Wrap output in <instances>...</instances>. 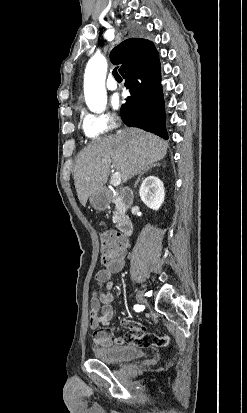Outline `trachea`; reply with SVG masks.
<instances>
[{
	"instance_id": "3493384b",
	"label": "trachea",
	"mask_w": 247,
	"mask_h": 413,
	"mask_svg": "<svg viewBox=\"0 0 247 413\" xmlns=\"http://www.w3.org/2000/svg\"><path fill=\"white\" fill-rule=\"evenodd\" d=\"M117 68H118V67L114 68V70H113V75H114V77H115L116 80H122L121 76H120V75L118 74V72H117Z\"/></svg>"
}]
</instances>
